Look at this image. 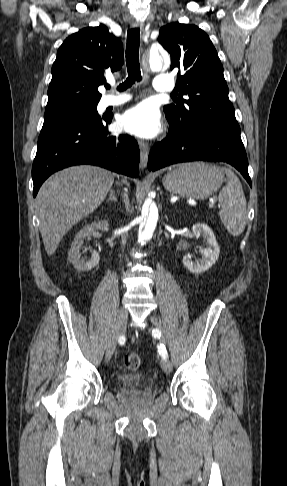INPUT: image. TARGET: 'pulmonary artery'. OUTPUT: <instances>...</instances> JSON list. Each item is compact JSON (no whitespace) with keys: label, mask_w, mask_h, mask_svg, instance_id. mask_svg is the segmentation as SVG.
Masks as SVG:
<instances>
[{"label":"pulmonary artery","mask_w":287,"mask_h":486,"mask_svg":"<svg viewBox=\"0 0 287 486\" xmlns=\"http://www.w3.org/2000/svg\"><path fill=\"white\" fill-rule=\"evenodd\" d=\"M154 88L158 92H172L175 88L174 79L169 75H158L155 78ZM129 100V96L127 95H107L103 98V105L104 106H116L123 104Z\"/></svg>","instance_id":"obj_1"}]
</instances>
